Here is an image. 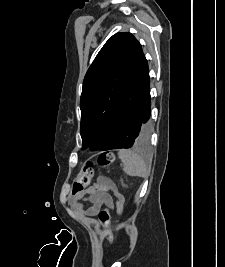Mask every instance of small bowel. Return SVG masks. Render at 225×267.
I'll return each mask as SVG.
<instances>
[{
  "instance_id": "small-bowel-1",
  "label": "small bowel",
  "mask_w": 225,
  "mask_h": 267,
  "mask_svg": "<svg viewBox=\"0 0 225 267\" xmlns=\"http://www.w3.org/2000/svg\"><path fill=\"white\" fill-rule=\"evenodd\" d=\"M113 197L115 198L117 212L120 214L121 209L118 207V200L124 198L123 195L110 178L99 177L97 182L85 191L73 194L70 202L76 211L92 219L102 207L113 208Z\"/></svg>"
}]
</instances>
